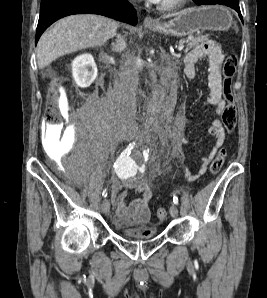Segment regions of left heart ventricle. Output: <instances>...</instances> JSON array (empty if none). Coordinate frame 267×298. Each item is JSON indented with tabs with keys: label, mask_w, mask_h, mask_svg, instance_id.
Returning a JSON list of instances; mask_svg holds the SVG:
<instances>
[{
	"label": "left heart ventricle",
	"mask_w": 267,
	"mask_h": 298,
	"mask_svg": "<svg viewBox=\"0 0 267 298\" xmlns=\"http://www.w3.org/2000/svg\"><path fill=\"white\" fill-rule=\"evenodd\" d=\"M170 1H173V0H161V2H170Z\"/></svg>",
	"instance_id": "b2bd125f"
}]
</instances>
